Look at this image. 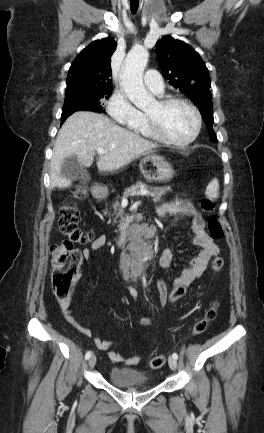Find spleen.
Masks as SVG:
<instances>
[{"mask_svg": "<svg viewBox=\"0 0 264 433\" xmlns=\"http://www.w3.org/2000/svg\"><path fill=\"white\" fill-rule=\"evenodd\" d=\"M206 195L211 199H215L219 195V181L218 179H213L206 188Z\"/></svg>", "mask_w": 264, "mask_h": 433, "instance_id": "spleen-1", "label": "spleen"}]
</instances>
